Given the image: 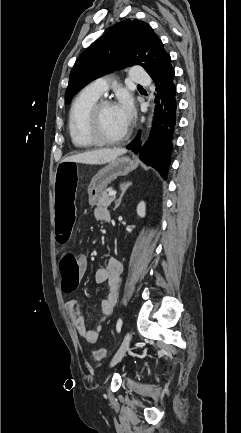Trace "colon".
I'll list each match as a JSON object with an SVG mask.
<instances>
[{
  "label": "colon",
  "mask_w": 241,
  "mask_h": 433,
  "mask_svg": "<svg viewBox=\"0 0 241 433\" xmlns=\"http://www.w3.org/2000/svg\"><path fill=\"white\" fill-rule=\"evenodd\" d=\"M79 160L72 157L62 159L57 165L55 180L52 187L55 192L53 207L56 214L55 228L58 233V241L64 247L68 235H71L74 228L73 221L77 216V207H74V196L77 188ZM59 275L63 277L62 288L66 292L73 291L78 283L79 264L72 253L65 252L59 263ZM97 361L107 357L104 349H97L93 353Z\"/></svg>",
  "instance_id": "colon-1"
}]
</instances>
